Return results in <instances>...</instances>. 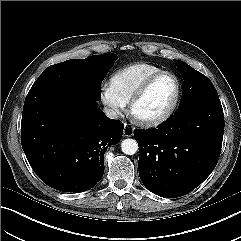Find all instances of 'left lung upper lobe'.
<instances>
[{
	"label": "left lung upper lobe",
	"mask_w": 241,
	"mask_h": 241,
	"mask_svg": "<svg viewBox=\"0 0 241 241\" xmlns=\"http://www.w3.org/2000/svg\"><path fill=\"white\" fill-rule=\"evenodd\" d=\"M183 77V92L178 109L195 103L221 104L212 82L184 62L176 61Z\"/></svg>",
	"instance_id": "5c2ea615"
}]
</instances>
